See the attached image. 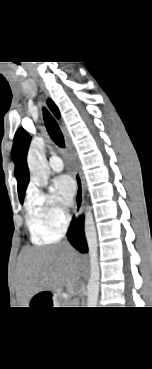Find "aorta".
Instances as JSON below:
<instances>
[{
	"mask_svg": "<svg viewBox=\"0 0 152 369\" xmlns=\"http://www.w3.org/2000/svg\"><path fill=\"white\" fill-rule=\"evenodd\" d=\"M32 180L39 187L48 184L50 170L45 156L44 139L36 137L32 140L27 158ZM84 231L90 257V278L87 284V307H97L99 294L100 269L98 262V241L91 207H85Z\"/></svg>",
	"mask_w": 152,
	"mask_h": 369,
	"instance_id": "1",
	"label": "aorta"
}]
</instances>
